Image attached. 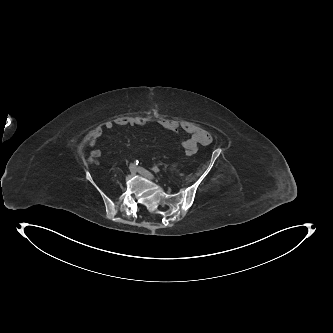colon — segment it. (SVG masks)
I'll return each instance as SVG.
<instances>
[{
	"label": "colon",
	"instance_id": "colon-1",
	"mask_svg": "<svg viewBox=\"0 0 333 333\" xmlns=\"http://www.w3.org/2000/svg\"><path fill=\"white\" fill-rule=\"evenodd\" d=\"M199 154V149H194V150H184V155L185 157H190V156H194V155H198Z\"/></svg>",
	"mask_w": 333,
	"mask_h": 333
}]
</instances>
